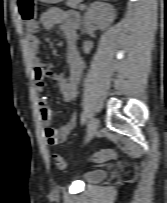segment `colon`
<instances>
[{
	"instance_id": "colon-1",
	"label": "colon",
	"mask_w": 167,
	"mask_h": 203,
	"mask_svg": "<svg viewBox=\"0 0 167 203\" xmlns=\"http://www.w3.org/2000/svg\"><path fill=\"white\" fill-rule=\"evenodd\" d=\"M18 13L21 19L26 23L27 32L31 35H35L40 31V26L35 20V4L34 0H17ZM118 157L115 150L107 149L96 153H93L89 157V161L92 163H101L108 160H113ZM55 165L58 169H65L67 163L65 159L58 155H54Z\"/></svg>"
}]
</instances>
